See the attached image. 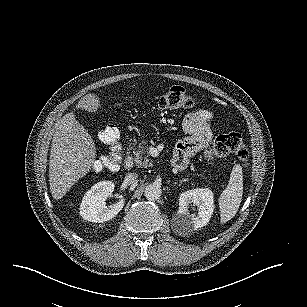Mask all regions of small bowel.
Wrapping results in <instances>:
<instances>
[{
  "label": "small bowel",
  "mask_w": 307,
  "mask_h": 307,
  "mask_svg": "<svg viewBox=\"0 0 307 307\" xmlns=\"http://www.w3.org/2000/svg\"><path fill=\"white\" fill-rule=\"evenodd\" d=\"M211 119L212 114L204 109L192 111L185 116L183 127L188 136L179 141L175 148L173 164L176 168H185L191 157L208 146L213 135Z\"/></svg>",
  "instance_id": "1"
}]
</instances>
